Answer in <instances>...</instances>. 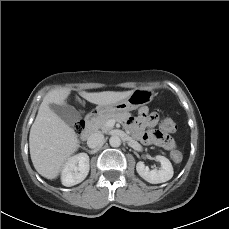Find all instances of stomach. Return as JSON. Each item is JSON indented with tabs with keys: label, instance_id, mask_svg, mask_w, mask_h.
<instances>
[{
	"label": "stomach",
	"instance_id": "stomach-1",
	"mask_svg": "<svg viewBox=\"0 0 229 229\" xmlns=\"http://www.w3.org/2000/svg\"><path fill=\"white\" fill-rule=\"evenodd\" d=\"M154 91L152 89H135L129 97L117 103L108 105H98L95 113L99 116L112 115L117 113L129 112L138 107L148 104L153 100Z\"/></svg>",
	"mask_w": 229,
	"mask_h": 229
}]
</instances>
